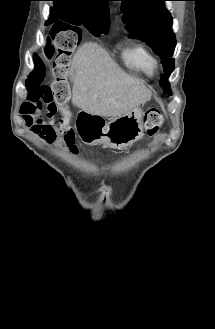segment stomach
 <instances>
[{
	"mask_svg": "<svg viewBox=\"0 0 215 329\" xmlns=\"http://www.w3.org/2000/svg\"><path fill=\"white\" fill-rule=\"evenodd\" d=\"M143 132L142 110L136 106L104 123L97 132V138L92 141L95 144L121 149L141 139Z\"/></svg>",
	"mask_w": 215,
	"mask_h": 329,
	"instance_id": "stomach-1",
	"label": "stomach"
}]
</instances>
